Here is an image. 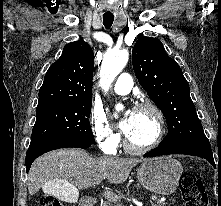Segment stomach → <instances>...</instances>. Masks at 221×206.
Listing matches in <instances>:
<instances>
[{"mask_svg": "<svg viewBox=\"0 0 221 206\" xmlns=\"http://www.w3.org/2000/svg\"><path fill=\"white\" fill-rule=\"evenodd\" d=\"M182 173V165L171 157L148 159L137 169V177L143 187L162 195L176 190Z\"/></svg>", "mask_w": 221, "mask_h": 206, "instance_id": "0dacf381", "label": "stomach"}]
</instances>
